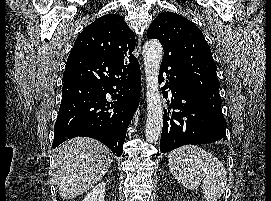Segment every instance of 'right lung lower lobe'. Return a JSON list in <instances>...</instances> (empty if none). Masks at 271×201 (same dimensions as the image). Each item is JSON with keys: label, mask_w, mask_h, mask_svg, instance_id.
<instances>
[{"label": "right lung lower lobe", "mask_w": 271, "mask_h": 201, "mask_svg": "<svg viewBox=\"0 0 271 201\" xmlns=\"http://www.w3.org/2000/svg\"><path fill=\"white\" fill-rule=\"evenodd\" d=\"M53 148L77 136L105 144L118 157L140 101L138 60L126 63L92 53H70Z\"/></svg>", "instance_id": "98d812e1"}]
</instances>
